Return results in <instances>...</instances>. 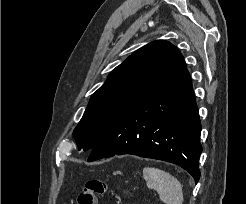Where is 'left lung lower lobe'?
Instances as JSON below:
<instances>
[{"mask_svg":"<svg viewBox=\"0 0 246 204\" xmlns=\"http://www.w3.org/2000/svg\"><path fill=\"white\" fill-rule=\"evenodd\" d=\"M201 123L185 69L118 120L95 144L88 161L132 154L179 165L198 182Z\"/></svg>","mask_w":246,"mask_h":204,"instance_id":"obj_1","label":"left lung lower lobe"}]
</instances>
